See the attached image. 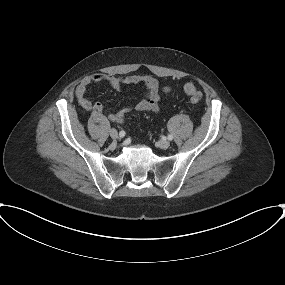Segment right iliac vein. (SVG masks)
Here are the masks:
<instances>
[{"label": "right iliac vein", "instance_id": "obj_1", "mask_svg": "<svg viewBox=\"0 0 285 285\" xmlns=\"http://www.w3.org/2000/svg\"><path fill=\"white\" fill-rule=\"evenodd\" d=\"M109 134H110L112 139H114V140L118 139V132L116 129H114V128L110 129Z\"/></svg>", "mask_w": 285, "mask_h": 285}]
</instances>
